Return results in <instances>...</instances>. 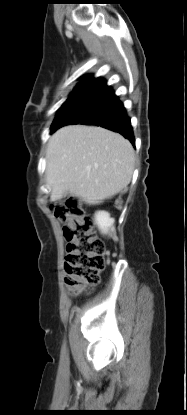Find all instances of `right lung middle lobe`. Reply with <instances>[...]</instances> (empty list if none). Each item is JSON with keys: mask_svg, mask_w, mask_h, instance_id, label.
Listing matches in <instances>:
<instances>
[{"mask_svg": "<svg viewBox=\"0 0 187 415\" xmlns=\"http://www.w3.org/2000/svg\"><path fill=\"white\" fill-rule=\"evenodd\" d=\"M70 97H71V96H70ZM70 97L67 99V101H66L64 104H66V103L68 102V100L70 99ZM64 104H63V105H64ZM63 105H62V106H63Z\"/></svg>", "mask_w": 187, "mask_h": 415, "instance_id": "obj_1", "label": "right lung middle lobe"}]
</instances>
